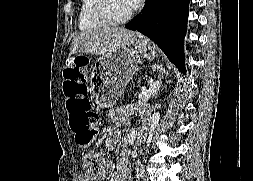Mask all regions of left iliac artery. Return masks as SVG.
Instances as JSON below:
<instances>
[{
  "instance_id": "1",
  "label": "left iliac artery",
  "mask_w": 253,
  "mask_h": 181,
  "mask_svg": "<svg viewBox=\"0 0 253 181\" xmlns=\"http://www.w3.org/2000/svg\"><path fill=\"white\" fill-rule=\"evenodd\" d=\"M144 169H141V177H144Z\"/></svg>"
}]
</instances>
